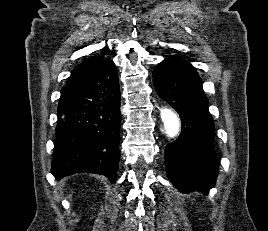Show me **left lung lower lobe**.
Here are the masks:
<instances>
[{"label": "left lung lower lobe", "mask_w": 268, "mask_h": 231, "mask_svg": "<svg viewBox=\"0 0 268 231\" xmlns=\"http://www.w3.org/2000/svg\"><path fill=\"white\" fill-rule=\"evenodd\" d=\"M152 76L156 92L182 121L179 137L164 151L168 176L181 192L207 194L215 185L219 162L214 150L215 126L201 78L189 62L177 57L159 63Z\"/></svg>", "instance_id": "1"}]
</instances>
